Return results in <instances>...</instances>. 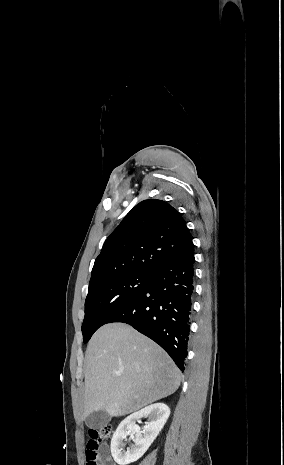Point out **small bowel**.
I'll return each instance as SVG.
<instances>
[{"label":"small bowel","instance_id":"1","mask_svg":"<svg viewBox=\"0 0 284 465\" xmlns=\"http://www.w3.org/2000/svg\"><path fill=\"white\" fill-rule=\"evenodd\" d=\"M101 459H102L103 461H106L107 463H109V461H110L111 458H110V456H109L108 454H106V455H103ZM103 465H104V464H103Z\"/></svg>","mask_w":284,"mask_h":465}]
</instances>
